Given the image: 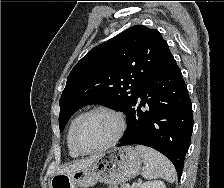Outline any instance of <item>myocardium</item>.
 I'll return each mask as SVG.
<instances>
[{
	"mask_svg": "<svg viewBox=\"0 0 224 188\" xmlns=\"http://www.w3.org/2000/svg\"><path fill=\"white\" fill-rule=\"evenodd\" d=\"M98 112L109 114L116 119L117 124H118L117 133L109 142H107L106 144H104L102 146H99V147L93 148V149H84L79 145L78 140H77L79 128H80L81 124L83 123V121L87 117H89L90 115H92L94 113H98ZM125 130H126V120H125L124 115L121 112H119L113 108L106 107V106L94 107V108L88 110L87 112L83 113L78 118V120L73 128V132H72V144H73L74 149L80 154H93V153L101 152V151H104V150L116 145L119 142V140L122 138Z\"/></svg>",
	"mask_w": 224,
	"mask_h": 188,
	"instance_id": "obj_1",
	"label": "myocardium"
}]
</instances>
